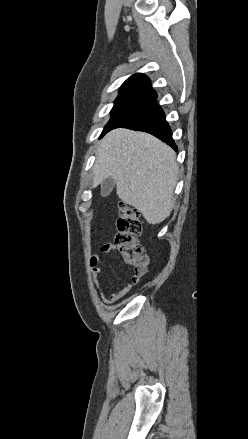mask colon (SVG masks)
Returning a JSON list of instances; mask_svg holds the SVG:
<instances>
[{
    "instance_id": "1",
    "label": "colon",
    "mask_w": 248,
    "mask_h": 439,
    "mask_svg": "<svg viewBox=\"0 0 248 439\" xmlns=\"http://www.w3.org/2000/svg\"><path fill=\"white\" fill-rule=\"evenodd\" d=\"M117 228L114 247L125 264L133 269V276L140 279L147 271L148 257L138 241L142 225L135 207L120 203Z\"/></svg>"
}]
</instances>
